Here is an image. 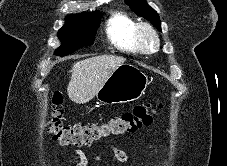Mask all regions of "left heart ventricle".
Masks as SVG:
<instances>
[{
	"instance_id": "b2bd125f",
	"label": "left heart ventricle",
	"mask_w": 227,
	"mask_h": 166,
	"mask_svg": "<svg viewBox=\"0 0 227 166\" xmlns=\"http://www.w3.org/2000/svg\"><path fill=\"white\" fill-rule=\"evenodd\" d=\"M143 39L147 44H151V42H152V40L148 34H144Z\"/></svg>"
}]
</instances>
